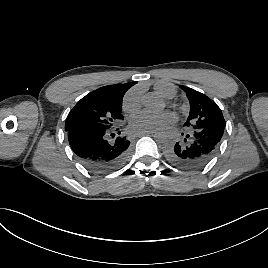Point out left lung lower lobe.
<instances>
[{"instance_id": "0a47b994", "label": "left lung lower lobe", "mask_w": 268, "mask_h": 268, "mask_svg": "<svg viewBox=\"0 0 268 268\" xmlns=\"http://www.w3.org/2000/svg\"><path fill=\"white\" fill-rule=\"evenodd\" d=\"M224 127L193 131L184 142H177L170 154L173 163L183 169H197L208 163L219 149Z\"/></svg>"}]
</instances>
